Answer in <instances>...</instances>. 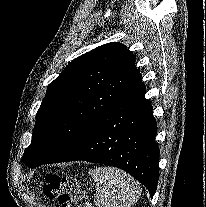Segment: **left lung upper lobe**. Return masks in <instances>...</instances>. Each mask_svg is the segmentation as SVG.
Instances as JSON below:
<instances>
[{
	"instance_id": "5c2ea615",
	"label": "left lung upper lobe",
	"mask_w": 206,
	"mask_h": 207,
	"mask_svg": "<svg viewBox=\"0 0 206 207\" xmlns=\"http://www.w3.org/2000/svg\"><path fill=\"white\" fill-rule=\"evenodd\" d=\"M135 61L127 47L116 42L73 60L47 88L23 162L36 167L73 154L104 112L139 78Z\"/></svg>"
}]
</instances>
